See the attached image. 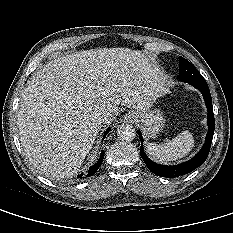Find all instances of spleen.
Returning <instances> with one entry per match:
<instances>
[{"instance_id": "3e777b00", "label": "spleen", "mask_w": 233, "mask_h": 233, "mask_svg": "<svg viewBox=\"0 0 233 233\" xmlns=\"http://www.w3.org/2000/svg\"><path fill=\"white\" fill-rule=\"evenodd\" d=\"M193 147L194 138L189 131L185 130L166 143L151 142L146 144V151L154 161L167 163L183 158Z\"/></svg>"}]
</instances>
